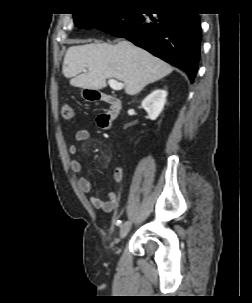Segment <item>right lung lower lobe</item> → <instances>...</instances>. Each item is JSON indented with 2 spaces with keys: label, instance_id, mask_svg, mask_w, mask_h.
Segmentation results:
<instances>
[{
  "label": "right lung lower lobe",
  "instance_id": "1",
  "mask_svg": "<svg viewBox=\"0 0 252 303\" xmlns=\"http://www.w3.org/2000/svg\"><path fill=\"white\" fill-rule=\"evenodd\" d=\"M100 30L124 37L135 45L183 70L193 81L200 57L201 25L198 14L168 9L151 14H127Z\"/></svg>",
  "mask_w": 252,
  "mask_h": 303
}]
</instances>
